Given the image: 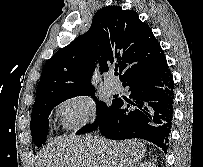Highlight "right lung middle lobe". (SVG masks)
Masks as SVG:
<instances>
[{
    "instance_id": "dd1d6c3e",
    "label": "right lung middle lobe",
    "mask_w": 203,
    "mask_h": 167,
    "mask_svg": "<svg viewBox=\"0 0 203 167\" xmlns=\"http://www.w3.org/2000/svg\"><path fill=\"white\" fill-rule=\"evenodd\" d=\"M95 91L82 94V95H90L92 98L95 99L96 104H97V117L95 122L92 125L85 126L82 129H80L76 134H83L87 133L90 131L95 130L100 121L102 120L103 117H105L108 112L112 109L115 103V99L112 101L111 105H106L105 102H101L96 99L94 96ZM75 96H66V97H56L49 99L42 104L36 106L35 108L32 109V114H31V133H32V140L35 143L36 146L41 147L42 144L46 142V135L48 132V117L52 111V109L60 104L61 102L72 98Z\"/></svg>"
}]
</instances>
